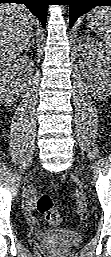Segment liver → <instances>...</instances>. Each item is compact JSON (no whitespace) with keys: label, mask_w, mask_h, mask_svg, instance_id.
<instances>
[{"label":"liver","mask_w":111,"mask_h":257,"mask_svg":"<svg viewBox=\"0 0 111 257\" xmlns=\"http://www.w3.org/2000/svg\"><path fill=\"white\" fill-rule=\"evenodd\" d=\"M36 24L34 15L21 4L0 5V64L11 63L27 47Z\"/></svg>","instance_id":"1"}]
</instances>
